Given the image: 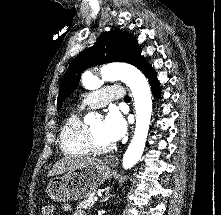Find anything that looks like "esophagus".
Listing matches in <instances>:
<instances>
[{
    "label": "esophagus",
    "instance_id": "34e87169",
    "mask_svg": "<svg viewBox=\"0 0 221 215\" xmlns=\"http://www.w3.org/2000/svg\"><path fill=\"white\" fill-rule=\"evenodd\" d=\"M106 164L114 167L118 164V158L116 156L110 155L105 158Z\"/></svg>",
    "mask_w": 221,
    "mask_h": 215
}]
</instances>
